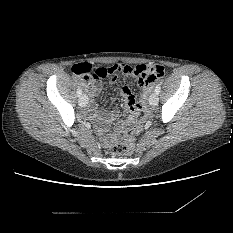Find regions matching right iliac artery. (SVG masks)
I'll return each mask as SVG.
<instances>
[{
	"mask_svg": "<svg viewBox=\"0 0 233 233\" xmlns=\"http://www.w3.org/2000/svg\"><path fill=\"white\" fill-rule=\"evenodd\" d=\"M82 95V89L78 87L77 89V96L80 97Z\"/></svg>",
	"mask_w": 233,
	"mask_h": 233,
	"instance_id": "82829eb1",
	"label": "right iliac artery"
}]
</instances>
